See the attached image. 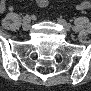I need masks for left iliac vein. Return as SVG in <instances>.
<instances>
[{"label": "left iliac vein", "mask_w": 91, "mask_h": 91, "mask_svg": "<svg viewBox=\"0 0 91 91\" xmlns=\"http://www.w3.org/2000/svg\"><path fill=\"white\" fill-rule=\"evenodd\" d=\"M58 23L61 24L66 31H70V28L68 27V23L64 19L58 18Z\"/></svg>", "instance_id": "1"}]
</instances>
